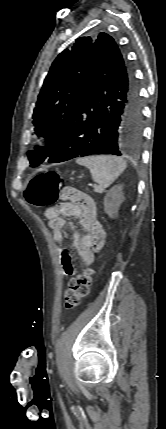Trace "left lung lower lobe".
<instances>
[{
	"label": "left lung lower lobe",
	"mask_w": 166,
	"mask_h": 429,
	"mask_svg": "<svg viewBox=\"0 0 166 429\" xmlns=\"http://www.w3.org/2000/svg\"><path fill=\"white\" fill-rule=\"evenodd\" d=\"M95 44L89 77L49 163L133 154L140 145L142 107L133 71L111 36L100 33Z\"/></svg>",
	"instance_id": "obj_1"
}]
</instances>
